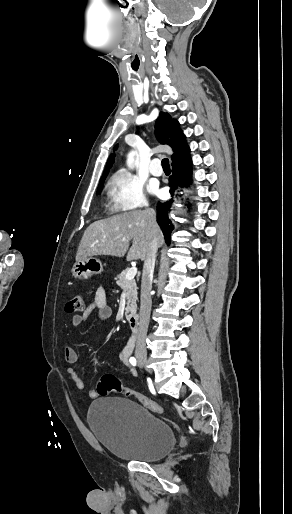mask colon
Wrapping results in <instances>:
<instances>
[{"label": "colon", "instance_id": "5ec220e1", "mask_svg": "<svg viewBox=\"0 0 292 514\" xmlns=\"http://www.w3.org/2000/svg\"><path fill=\"white\" fill-rule=\"evenodd\" d=\"M84 301L81 295H75L66 303L67 313H77L83 310ZM97 389L101 395H108L111 392L129 395L132 393L130 385H124L122 381L113 374H105L99 380ZM137 402L152 412L162 413L163 407L149 397L140 393H134Z\"/></svg>", "mask_w": 292, "mask_h": 514}]
</instances>
